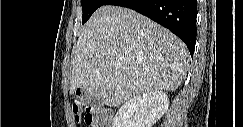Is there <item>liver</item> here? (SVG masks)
<instances>
[{
	"instance_id": "liver-1",
	"label": "liver",
	"mask_w": 243,
	"mask_h": 127,
	"mask_svg": "<svg viewBox=\"0 0 243 127\" xmlns=\"http://www.w3.org/2000/svg\"><path fill=\"white\" fill-rule=\"evenodd\" d=\"M189 52L172 32L131 9L105 5L83 27L71 62L70 94L96 91L107 106L156 90H176Z\"/></svg>"
}]
</instances>
